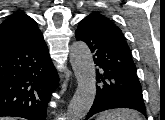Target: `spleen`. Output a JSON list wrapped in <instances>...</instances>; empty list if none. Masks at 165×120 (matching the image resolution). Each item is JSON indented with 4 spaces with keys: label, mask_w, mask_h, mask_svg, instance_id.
Segmentation results:
<instances>
[{
    "label": "spleen",
    "mask_w": 165,
    "mask_h": 120,
    "mask_svg": "<svg viewBox=\"0 0 165 120\" xmlns=\"http://www.w3.org/2000/svg\"><path fill=\"white\" fill-rule=\"evenodd\" d=\"M96 120H142V118L136 111L123 108L104 111Z\"/></svg>",
    "instance_id": "3e777b00"
}]
</instances>
